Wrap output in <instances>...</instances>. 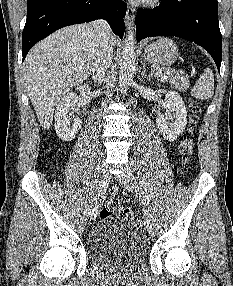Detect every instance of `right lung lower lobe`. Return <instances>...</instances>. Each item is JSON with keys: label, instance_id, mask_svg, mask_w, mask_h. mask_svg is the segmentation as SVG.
Here are the masks:
<instances>
[{"label": "right lung lower lobe", "instance_id": "1", "mask_svg": "<svg viewBox=\"0 0 233 286\" xmlns=\"http://www.w3.org/2000/svg\"><path fill=\"white\" fill-rule=\"evenodd\" d=\"M126 4L122 0H27L22 54L52 32L72 24L105 19L120 38L124 34Z\"/></svg>", "mask_w": 233, "mask_h": 286}]
</instances>
